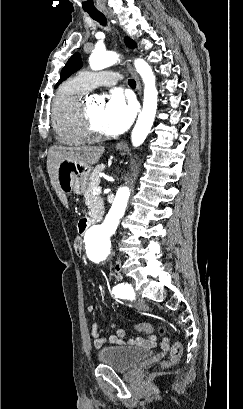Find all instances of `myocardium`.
<instances>
[{"instance_id": "f54148a6", "label": "myocardium", "mask_w": 243, "mask_h": 409, "mask_svg": "<svg viewBox=\"0 0 243 409\" xmlns=\"http://www.w3.org/2000/svg\"><path fill=\"white\" fill-rule=\"evenodd\" d=\"M81 116H82L83 127H84V130L88 138H91V139L101 138L102 133L94 127L91 121V118L89 116L88 110H87V105L85 104L82 105Z\"/></svg>"}]
</instances>
